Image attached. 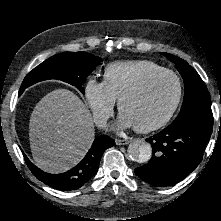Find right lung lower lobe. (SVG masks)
<instances>
[{"label":"right lung lower lobe","instance_id":"obj_1","mask_svg":"<svg viewBox=\"0 0 221 221\" xmlns=\"http://www.w3.org/2000/svg\"><path fill=\"white\" fill-rule=\"evenodd\" d=\"M115 141L107 135L96 138L82 161L71 170L60 173L50 174L42 171L29 161L23 153L26 164L34 176L46 185L61 191H70L82 187L92 179L98 170L103 152L113 146Z\"/></svg>","mask_w":221,"mask_h":221}]
</instances>
